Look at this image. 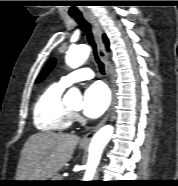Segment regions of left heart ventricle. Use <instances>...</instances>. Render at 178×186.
Instances as JSON below:
<instances>
[{
	"label": "left heart ventricle",
	"instance_id": "left-heart-ventricle-1",
	"mask_svg": "<svg viewBox=\"0 0 178 186\" xmlns=\"http://www.w3.org/2000/svg\"><path fill=\"white\" fill-rule=\"evenodd\" d=\"M73 111H76L77 109L72 108Z\"/></svg>",
	"mask_w": 178,
	"mask_h": 186
}]
</instances>
